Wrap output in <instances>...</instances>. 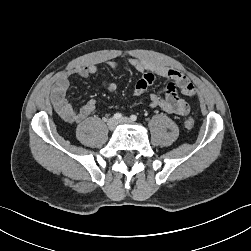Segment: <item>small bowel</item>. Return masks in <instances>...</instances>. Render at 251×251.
Returning a JSON list of instances; mask_svg holds the SVG:
<instances>
[{
  "instance_id": "small-bowel-1",
  "label": "small bowel",
  "mask_w": 251,
  "mask_h": 251,
  "mask_svg": "<svg viewBox=\"0 0 251 251\" xmlns=\"http://www.w3.org/2000/svg\"><path fill=\"white\" fill-rule=\"evenodd\" d=\"M127 65L135 71L142 73V77L136 82L134 95H142L147 88L154 83L157 77H163L170 82L163 88L160 94L149 95V107L161 108L169 114L187 115L190 111V104L181 98L177 90L187 97H193L196 94L194 84L181 71L167 67L159 62L147 59L130 58L126 61ZM111 70H118L121 62L111 60L107 62ZM97 73L96 65H87L76 68L69 74L60 76L52 86L51 101L56 113L61 119L68 123H79L89 117L95 110L96 101L88 100L80 107H74L67 99V92L70 87V75L75 74L81 78H87ZM102 84L109 92L117 90V84L113 81L103 80Z\"/></svg>"
}]
</instances>
